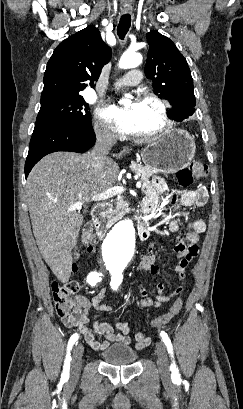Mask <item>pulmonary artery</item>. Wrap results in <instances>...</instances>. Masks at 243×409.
Instances as JSON below:
<instances>
[{
	"instance_id": "1",
	"label": "pulmonary artery",
	"mask_w": 243,
	"mask_h": 409,
	"mask_svg": "<svg viewBox=\"0 0 243 409\" xmlns=\"http://www.w3.org/2000/svg\"><path fill=\"white\" fill-rule=\"evenodd\" d=\"M140 79L141 72L139 70H131L116 83V87L135 86L140 82Z\"/></svg>"
}]
</instances>
